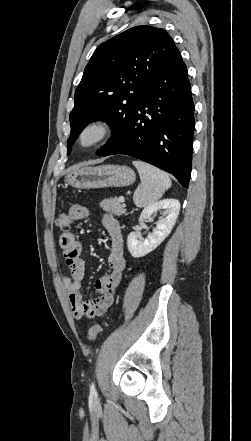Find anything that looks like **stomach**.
<instances>
[{
	"mask_svg": "<svg viewBox=\"0 0 251 441\" xmlns=\"http://www.w3.org/2000/svg\"><path fill=\"white\" fill-rule=\"evenodd\" d=\"M66 181L76 189L125 187L135 181V173L124 165L86 166L70 172Z\"/></svg>",
	"mask_w": 251,
	"mask_h": 441,
	"instance_id": "obj_1",
	"label": "stomach"
}]
</instances>
